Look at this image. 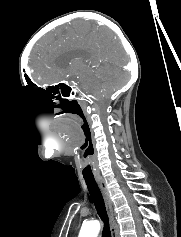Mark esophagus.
Segmentation results:
<instances>
[{"instance_id": "esophagus-1", "label": "esophagus", "mask_w": 181, "mask_h": 237, "mask_svg": "<svg viewBox=\"0 0 181 237\" xmlns=\"http://www.w3.org/2000/svg\"><path fill=\"white\" fill-rule=\"evenodd\" d=\"M97 183L99 185V188L101 190L104 202H105V207L106 211L109 217V222H110V230H111V235L112 237H118L117 236V223L115 220V216L113 213V208H112V202L110 199L109 191L107 188V185L103 179L98 178Z\"/></svg>"}]
</instances>
